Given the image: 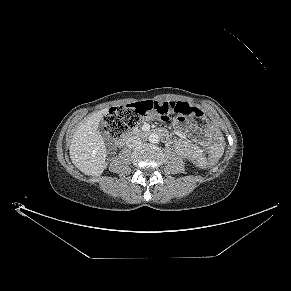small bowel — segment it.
<instances>
[{"label": "small bowel", "mask_w": 291, "mask_h": 291, "mask_svg": "<svg viewBox=\"0 0 291 291\" xmlns=\"http://www.w3.org/2000/svg\"><path fill=\"white\" fill-rule=\"evenodd\" d=\"M173 126L180 136L174 143L176 151L196 166L205 167L207 165L205 150L209 152L210 158L221 156L223 152L222 135L213 124H208L201 132L197 143H191L185 139V135L191 127L186 120L179 118L173 122Z\"/></svg>", "instance_id": "1"}]
</instances>
